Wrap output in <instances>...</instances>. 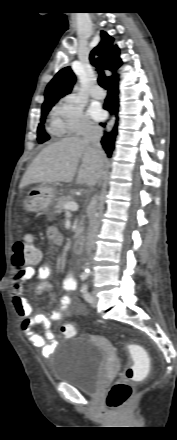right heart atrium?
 Masks as SVG:
<instances>
[{
	"mask_svg": "<svg viewBox=\"0 0 177 440\" xmlns=\"http://www.w3.org/2000/svg\"><path fill=\"white\" fill-rule=\"evenodd\" d=\"M53 127L59 135H79L94 127L84 113V105L73 95L58 100L52 109Z\"/></svg>",
	"mask_w": 177,
	"mask_h": 440,
	"instance_id": "right-heart-atrium-1",
	"label": "right heart atrium"
}]
</instances>
